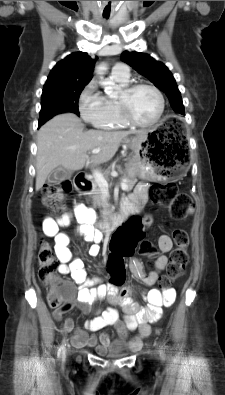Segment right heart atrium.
I'll return each instance as SVG.
<instances>
[{
	"label": "right heart atrium",
	"instance_id": "right-heart-atrium-1",
	"mask_svg": "<svg viewBox=\"0 0 225 395\" xmlns=\"http://www.w3.org/2000/svg\"><path fill=\"white\" fill-rule=\"evenodd\" d=\"M78 109L81 118L87 124L98 127L105 112L103 97L96 91L94 82H90L79 97Z\"/></svg>",
	"mask_w": 225,
	"mask_h": 395
}]
</instances>
